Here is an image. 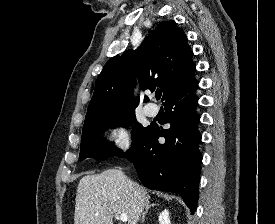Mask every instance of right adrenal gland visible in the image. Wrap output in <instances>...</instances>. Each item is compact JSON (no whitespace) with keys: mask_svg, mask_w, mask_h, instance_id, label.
Segmentation results:
<instances>
[{"mask_svg":"<svg viewBox=\"0 0 275 224\" xmlns=\"http://www.w3.org/2000/svg\"><path fill=\"white\" fill-rule=\"evenodd\" d=\"M156 205H157V204L152 203V204L146 206V209H145V211H144L143 214H142V219H141L142 222H144L145 215L148 213V210H149L151 207H154V206H156Z\"/></svg>","mask_w":275,"mask_h":224,"instance_id":"right-adrenal-gland-1","label":"right adrenal gland"}]
</instances>
